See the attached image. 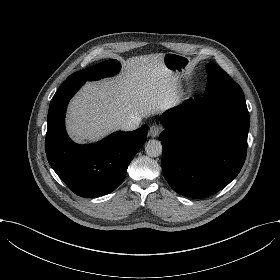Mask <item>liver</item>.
Instances as JSON below:
<instances>
[{"label": "liver", "instance_id": "1", "mask_svg": "<svg viewBox=\"0 0 280 280\" xmlns=\"http://www.w3.org/2000/svg\"><path fill=\"white\" fill-rule=\"evenodd\" d=\"M162 59L163 53L132 56L121 61L117 75L87 81L66 110L65 129L72 142L98 143L132 116L146 119L178 104L183 95L180 79Z\"/></svg>", "mask_w": 280, "mask_h": 280}]
</instances>
